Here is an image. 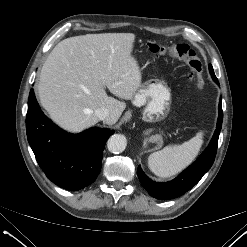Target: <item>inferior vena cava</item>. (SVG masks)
Segmentation results:
<instances>
[{
    "label": "inferior vena cava",
    "mask_w": 247,
    "mask_h": 247,
    "mask_svg": "<svg viewBox=\"0 0 247 247\" xmlns=\"http://www.w3.org/2000/svg\"><path fill=\"white\" fill-rule=\"evenodd\" d=\"M95 115L100 119V120H105L109 117V110L105 107H101L95 110Z\"/></svg>",
    "instance_id": "1"
}]
</instances>
